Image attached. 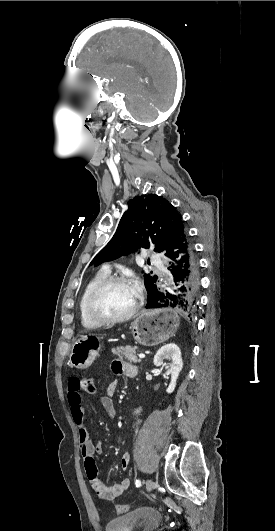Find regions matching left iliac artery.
Listing matches in <instances>:
<instances>
[{
    "label": "left iliac artery",
    "mask_w": 275,
    "mask_h": 531,
    "mask_svg": "<svg viewBox=\"0 0 275 531\" xmlns=\"http://www.w3.org/2000/svg\"><path fill=\"white\" fill-rule=\"evenodd\" d=\"M135 485H136V487H140L141 486V481L139 479H137L136 482H135Z\"/></svg>",
    "instance_id": "left-iliac-artery-1"
}]
</instances>
